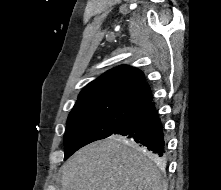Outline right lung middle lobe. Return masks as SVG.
<instances>
[{
  "mask_svg": "<svg viewBox=\"0 0 221 190\" xmlns=\"http://www.w3.org/2000/svg\"><path fill=\"white\" fill-rule=\"evenodd\" d=\"M135 110L110 103L74 106L67 119L64 159L84 145L112 135Z\"/></svg>",
  "mask_w": 221,
  "mask_h": 190,
  "instance_id": "1",
  "label": "right lung middle lobe"
}]
</instances>
